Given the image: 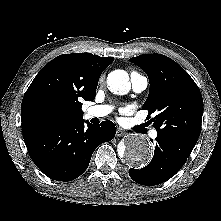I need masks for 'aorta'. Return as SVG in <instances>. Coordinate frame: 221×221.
<instances>
[{
  "instance_id": "762f6f07",
  "label": "aorta",
  "mask_w": 221,
  "mask_h": 221,
  "mask_svg": "<svg viewBox=\"0 0 221 221\" xmlns=\"http://www.w3.org/2000/svg\"><path fill=\"white\" fill-rule=\"evenodd\" d=\"M107 84L112 93L119 95L127 94L131 87L128 73L121 69L108 75ZM118 154L129 165L142 167L151 160L152 148L144 135L133 134L119 143Z\"/></svg>"
}]
</instances>
